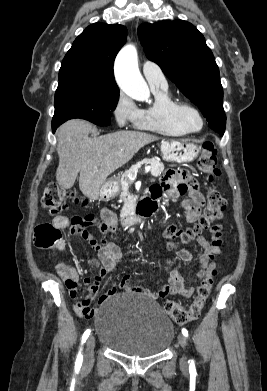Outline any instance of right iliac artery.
I'll return each mask as SVG.
<instances>
[{"mask_svg": "<svg viewBox=\"0 0 267 391\" xmlns=\"http://www.w3.org/2000/svg\"><path fill=\"white\" fill-rule=\"evenodd\" d=\"M89 335H90V330L88 329V330H86V331L84 332V334H83L82 343H84V342L86 341V339L88 338ZM82 359H83V357H82V354H81V352H80V353L78 354V356H77L76 363H75V369H76V370H79V369H80V367H81V365H82Z\"/></svg>", "mask_w": 267, "mask_h": 391, "instance_id": "right-iliac-artery-1", "label": "right iliac artery"}]
</instances>
